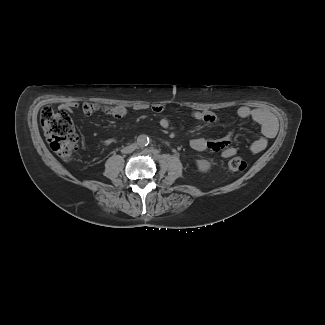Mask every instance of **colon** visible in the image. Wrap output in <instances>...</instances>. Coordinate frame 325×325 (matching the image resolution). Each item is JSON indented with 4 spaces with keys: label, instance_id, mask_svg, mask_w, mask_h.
Masks as SVG:
<instances>
[{
    "label": "colon",
    "instance_id": "obj_1",
    "mask_svg": "<svg viewBox=\"0 0 325 325\" xmlns=\"http://www.w3.org/2000/svg\"><path fill=\"white\" fill-rule=\"evenodd\" d=\"M40 122L50 148L63 160H69L77 149L78 137L74 129L66 125L59 112L45 106L40 111ZM229 172H241L246 169V162L240 157H233L227 162Z\"/></svg>",
    "mask_w": 325,
    "mask_h": 325
}]
</instances>
